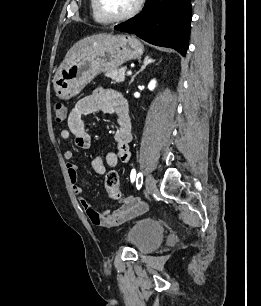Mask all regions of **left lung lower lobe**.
I'll return each instance as SVG.
<instances>
[{
	"label": "left lung lower lobe",
	"mask_w": 261,
	"mask_h": 306,
	"mask_svg": "<svg viewBox=\"0 0 261 306\" xmlns=\"http://www.w3.org/2000/svg\"><path fill=\"white\" fill-rule=\"evenodd\" d=\"M191 22L190 0H147L144 10L115 26L157 46L186 54Z\"/></svg>",
	"instance_id": "obj_1"
}]
</instances>
